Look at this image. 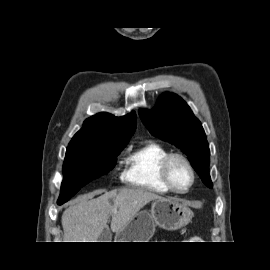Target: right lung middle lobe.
Here are the masks:
<instances>
[{"mask_svg": "<svg viewBox=\"0 0 270 270\" xmlns=\"http://www.w3.org/2000/svg\"><path fill=\"white\" fill-rule=\"evenodd\" d=\"M128 142L107 145L69 144L63 163V181L57 203L68 201L81 187L114 168L115 159Z\"/></svg>", "mask_w": 270, "mask_h": 270, "instance_id": "right-lung-middle-lobe-1", "label": "right lung middle lobe"}]
</instances>
